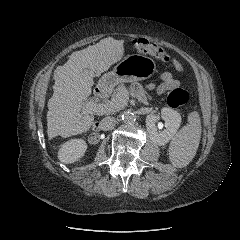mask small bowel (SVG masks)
Here are the masks:
<instances>
[{
	"label": "small bowel",
	"instance_id": "small-bowel-1",
	"mask_svg": "<svg viewBox=\"0 0 240 240\" xmlns=\"http://www.w3.org/2000/svg\"><path fill=\"white\" fill-rule=\"evenodd\" d=\"M173 64L177 70H179V71L183 70L182 64L177 59L173 60ZM160 78L162 80V83L159 86H157V88H156V91L158 94H162L168 90L177 88L180 85L179 81L177 79H175L168 72L161 74ZM132 91L138 98H140V99L144 98L142 87L139 84H137V83L134 84L132 86Z\"/></svg>",
	"mask_w": 240,
	"mask_h": 240
}]
</instances>
